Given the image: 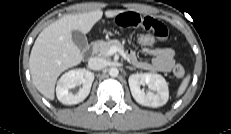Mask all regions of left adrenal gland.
<instances>
[{
  "label": "left adrenal gland",
  "instance_id": "left-adrenal-gland-1",
  "mask_svg": "<svg viewBox=\"0 0 231 134\" xmlns=\"http://www.w3.org/2000/svg\"><path fill=\"white\" fill-rule=\"evenodd\" d=\"M126 68L129 69V70H134L135 69V68L130 67V66H126Z\"/></svg>",
  "mask_w": 231,
  "mask_h": 134
}]
</instances>
